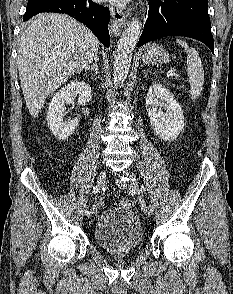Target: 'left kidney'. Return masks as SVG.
Here are the masks:
<instances>
[{
  "label": "left kidney",
  "mask_w": 233,
  "mask_h": 294,
  "mask_svg": "<svg viewBox=\"0 0 233 294\" xmlns=\"http://www.w3.org/2000/svg\"><path fill=\"white\" fill-rule=\"evenodd\" d=\"M146 108L153 131L170 141L184 128L183 111L173 95L160 83H154L147 92Z\"/></svg>",
  "instance_id": "5707ae66"
}]
</instances>
